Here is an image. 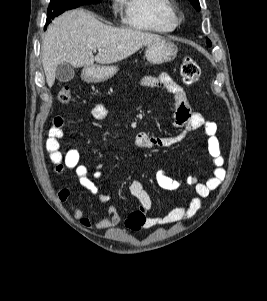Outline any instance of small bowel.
<instances>
[{
	"instance_id": "c3829d8e",
	"label": "small bowel",
	"mask_w": 267,
	"mask_h": 301,
	"mask_svg": "<svg viewBox=\"0 0 267 301\" xmlns=\"http://www.w3.org/2000/svg\"><path fill=\"white\" fill-rule=\"evenodd\" d=\"M140 86L147 88L163 87L173 96L175 103L173 126L178 132L176 135L166 138L155 137L147 132H140L136 136L135 146L140 149L171 147L182 141L190 132L203 128L213 170L212 175L204 182L198 181L193 176L173 177L166 170H158L155 177L160 188L173 191L182 186H193L195 197L187 205L176 207L167 214L157 217L146 215L152 209V200L139 180L132 181L130 192L139 202L138 209L132 212L125 221L126 228L132 231L142 228L148 229L156 225L172 224L193 217L201 208L203 200L210 192L220 186L226 175L224 158L221 154L220 143L216 135L217 125L212 121L206 120L201 113L191 109L184 88L166 73H162L156 77L145 76L141 79ZM92 114L96 119L102 120L107 116V109L103 104L98 103L92 109ZM63 128V119L56 117L46 139V150L49 153L51 161L56 166V173L61 175L66 169L74 170L81 186L98 196L102 202L109 201L110 195L100 192L96 184V180L102 176L100 167L91 175L88 168L80 163L78 150L74 148L66 152L60 150V140L64 135ZM70 194V189L64 187L57 192V197L59 201L66 202L70 198ZM70 209L73 217L83 227H92L91 221L84 216L81 209L75 206H71ZM120 222L121 216L119 212L112 208L108 211L107 217L96 222V225L102 229H111L119 225Z\"/></svg>"
}]
</instances>
